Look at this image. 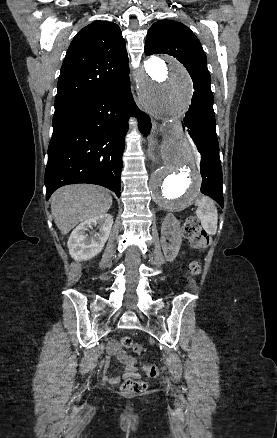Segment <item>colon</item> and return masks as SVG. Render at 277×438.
I'll return each mask as SVG.
<instances>
[{
  "label": "colon",
  "instance_id": "1",
  "mask_svg": "<svg viewBox=\"0 0 277 438\" xmlns=\"http://www.w3.org/2000/svg\"><path fill=\"white\" fill-rule=\"evenodd\" d=\"M182 232L184 237L189 241L190 245L195 249H205L209 245V239L203 226L196 218H188L183 225ZM202 266L199 262H192L189 264V272L195 277L200 275ZM121 344L124 347L132 348L135 353H140L141 348L134 345L129 337H123ZM146 375L149 378H156L160 372L157 366L148 365L144 368ZM148 387L146 380H121L120 388L122 393L129 398H144L145 390Z\"/></svg>",
  "mask_w": 277,
  "mask_h": 438
}]
</instances>
